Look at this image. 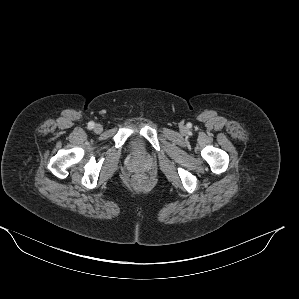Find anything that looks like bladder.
<instances>
[{
	"label": "bladder",
	"instance_id": "1",
	"mask_svg": "<svg viewBox=\"0 0 299 299\" xmlns=\"http://www.w3.org/2000/svg\"><path fill=\"white\" fill-rule=\"evenodd\" d=\"M141 145V139L137 136L133 137L130 141V146L134 150H138Z\"/></svg>",
	"mask_w": 299,
	"mask_h": 299
}]
</instances>
